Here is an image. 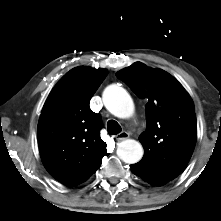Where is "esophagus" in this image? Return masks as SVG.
<instances>
[{"instance_id":"1","label":"esophagus","mask_w":221,"mask_h":221,"mask_svg":"<svg viewBox=\"0 0 221 221\" xmlns=\"http://www.w3.org/2000/svg\"><path fill=\"white\" fill-rule=\"evenodd\" d=\"M115 138H116V140H118V141L126 140V139L129 138V133L126 132V131H123V132L117 134V135L115 136Z\"/></svg>"}]
</instances>
